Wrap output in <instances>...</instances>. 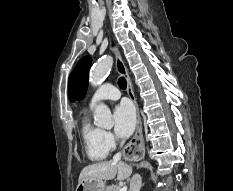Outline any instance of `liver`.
<instances>
[{
    "mask_svg": "<svg viewBox=\"0 0 233 191\" xmlns=\"http://www.w3.org/2000/svg\"><path fill=\"white\" fill-rule=\"evenodd\" d=\"M132 168L124 162H98L83 168L79 175V182L86 180H124L130 177Z\"/></svg>",
    "mask_w": 233,
    "mask_h": 191,
    "instance_id": "liver-1",
    "label": "liver"
}]
</instances>
